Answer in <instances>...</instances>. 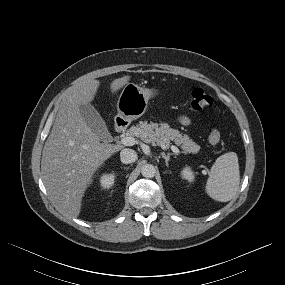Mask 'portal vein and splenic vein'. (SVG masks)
Returning <instances> with one entry per match:
<instances>
[{"mask_svg": "<svg viewBox=\"0 0 285 285\" xmlns=\"http://www.w3.org/2000/svg\"><path fill=\"white\" fill-rule=\"evenodd\" d=\"M135 142H136L135 138L130 137V136H124L121 138V143L125 146H133ZM161 147L166 148L165 145H162ZM171 150L176 154L180 153V150L174 145L171 146Z\"/></svg>", "mask_w": 285, "mask_h": 285, "instance_id": "portal-vein-and-splenic-vein-1", "label": "portal vein and splenic vein"}]
</instances>
